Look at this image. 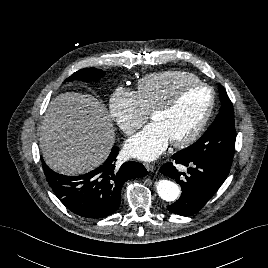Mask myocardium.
Here are the masks:
<instances>
[{"label": "myocardium", "mask_w": 268, "mask_h": 268, "mask_svg": "<svg viewBox=\"0 0 268 268\" xmlns=\"http://www.w3.org/2000/svg\"><path fill=\"white\" fill-rule=\"evenodd\" d=\"M194 87H203V88L208 89L210 92V100H209L208 106H207L206 110L204 111L200 121L194 127V129L186 137H184L180 140L170 141V143L175 147H186V146L192 144L200 136V134L203 132V130L205 129V127H206V125L211 117V114H212V111H213L214 105H215V92H214L213 88L210 87L208 84L203 83L201 81L189 82V83L182 84L175 90V92L162 105L156 107L151 112L152 119L156 115L168 113L177 105L182 93L185 90L190 89V88H194Z\"/></svg>", "instance_id": "1"}]
</instances>
